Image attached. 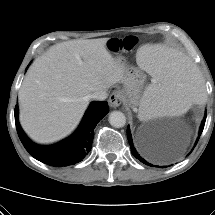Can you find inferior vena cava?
I'll return each instance as SVG.
<instances>
[{
    "mask_svg": "<svg viewBox=\"0 0 215 215\" xmlns=\"http://www.w3.org/2000/svg\"><path fill=\"white\" fill-rule=\"evenodd\" d=\"M108 94L106 89H100L91 94L90 98L97 101H103L107 98Z\"/></svg>",
    "mask_w": 215,
    "mask_h": 215,
    "instance_id": "obj_1",
    "label": "inferior vena cava"
}]
</instances>
